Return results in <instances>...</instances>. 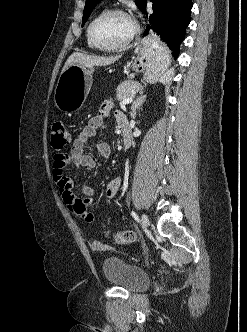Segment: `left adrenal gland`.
I'll return each instance as SVG.
<instances>
[{"instance_id":"left-adrenal-gland-1","label":"left adrenal gland","mask_w":247,"mask_h":332,"mask_svg":"<svg viewBox=\"0 0 247 332\" xmlns=\"http://www.w3.org/2000/svg\"><path fill=\"white\" fill-rule=\"evenodd\" d=\"M147 96L143 95L141 93V95L139 97H137L134 102L132 103L131 106V117L133 119H135L137 111L140 109V107L143 105V103L146 101Z\"/></svg>"}]
</instances>
